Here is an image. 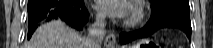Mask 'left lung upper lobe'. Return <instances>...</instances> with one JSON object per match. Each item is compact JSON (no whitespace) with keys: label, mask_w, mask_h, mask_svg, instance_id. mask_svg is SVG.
Wrapping results in <instances>:
<instances>
[{"label":"left lung upper lobe","mask_w":213,"mask_h":48,"mask_svg":"<svg viewBox=\"0 0 213 48\" xmlns=\"http://www.w3.org/2000/svg\"><path fill=\"white\" fill-rule=\"evenodd\" d=\"M151 2V8L158 10L164 6H175L184 10L190 11L189 0H149Z\"/></svg>","instance_id":"left-lung-upper-lobe-1"}]
</instances>
